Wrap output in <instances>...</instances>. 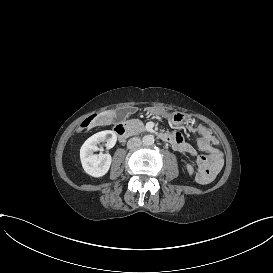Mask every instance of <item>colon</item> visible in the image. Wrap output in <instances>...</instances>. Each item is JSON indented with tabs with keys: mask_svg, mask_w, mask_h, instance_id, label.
I'll use <instances>...</instances> for the list:
<instances>
[{
	"mask_svg": "<svg viewBox=\"0 0 273 273\" xmlns=\"http://www.w3.org/2000/svg\"><path fill=\"white\" fill-rule=\"evenodd\" d=\"M218 154L215 155L217 157ZM200 168L202 171L198 174V181L202 185H209L220 172V165L214 161L211 157H204L200 161Z\"/></svg>",
	"mask_w": 273,
	"mask_h": 273,
	"instance_id": "1",
	"label": "colon"
}]
</instances>
